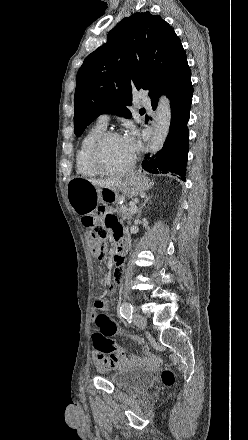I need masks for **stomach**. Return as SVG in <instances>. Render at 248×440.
<instances>
[{"label": "stomach", "mask_w": 248, "mask_h": 440, "mask_svg": "<svg viewBox=\"0 0 248 440\" xmlns=\"http://www.w3.org/2000/svg\"><path fill=\"white\" fill-rule=\"evenodd\" d=\"M150 188V181L141 175H131L112 188L96 187L89 180L76 177L67 183V196L73 210L82 214L97 203L114 204L125 197L141 195Z\"/></svg>", "instance_id": "stomach-1"}]
</instances>
